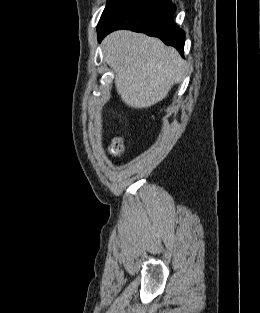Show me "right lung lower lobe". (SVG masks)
Returning <instances> with one entry per match:
<instances>
[{"label":"right lung lower lobe","mask_w":260,"mask_h":313,"mask_svg":"<svg viewBox=\"0 0 260 313\" xmlns=\"http://www.w3.org/2000/svg\"><path fill=\"white\" fill-rule=\"evenodd\" d=\"M176 7L169 0H119L99 21L101 41L117 29H130L160 38L183 55L185 34L173 22Z\"/></svg>","instance_id":"obj_1"}]
</instances>
